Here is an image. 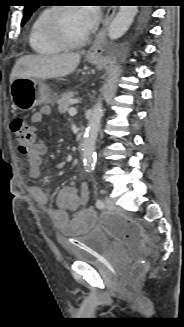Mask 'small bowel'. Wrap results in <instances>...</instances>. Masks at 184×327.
Masks as SVG:
<instances>
[{"label": "small bowel", "mask_w": 184, "mask_h": 327, "mask_svg": "<svg viewBox=\"0 0 184 327\" xmlns=\"http://www.w3.org/2000/svg\"><path fill=\"white\" fill-rule=\"evenodd\" d=\"M50 109L45 106L34 113L30 122L37 124L41 122ZM48 151V145L43 138H39L34 147L27 153L29 174L32 178L42 175V157ZM31 195L36 202L45 208L57 228L69 236L81 235L96 224V213L89 208V185L84 182L78 193L73 186H64L60 189L56 205L48 207V193L39 186H30Z\"/></svg>", "instance_id": "1"}]
</instances>
